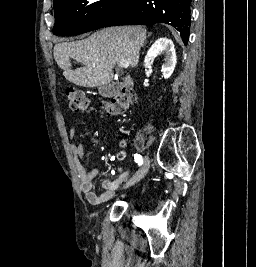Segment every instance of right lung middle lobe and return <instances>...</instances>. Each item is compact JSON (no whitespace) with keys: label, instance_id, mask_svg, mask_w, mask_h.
I'll return each instance as SVG.
<instances>
[{"label":"right lung middle lobe","instance_id":"right-lung-middle-lobe-1","mask_svg":"<svg viewBox=\"0 0 256 267\" xmlns=\"http://www.w3.org/2000/svg\"><path fill=\"white\" fill-rule=\"evenodd\" d=\"M133 0L54 1L53 34L73 35L102 28L119 17Z\"/></svg>","mask_w":256,"mask_h":267}]
</instances>
